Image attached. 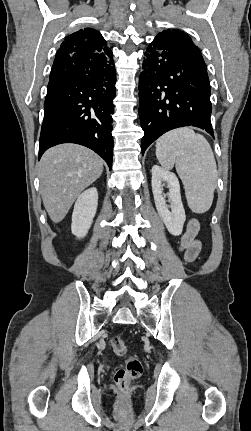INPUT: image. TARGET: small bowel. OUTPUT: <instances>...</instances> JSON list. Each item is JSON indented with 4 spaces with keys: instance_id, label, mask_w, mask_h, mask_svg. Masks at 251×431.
Returning <instances> with one entry per match:
<instances>
[{
    "instance_id": "small-bowel-1",
    "label": "small bowel",
    "mask_w": 251,
    "mask_h": 431,
    "mask_svg": "<svg viewBox=\"0 0 251 431\" xmlns=\"http://www.w3.org/2000/svg\"><path fill=\"white\" fill-rule=\"evenodd\" d=\"M198 231V221L194 218L190 219L179 243V250L183 253L186 262L194 261L200 253L201 242L197 239Z\"/></svg>"
}]
</instances>
